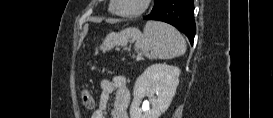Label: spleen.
Segmentation results:
<instances>
[{
	"instance_id": "spleen-1",
	"label": "spleen",
	"mask_w": 273,
	"mask_h": 118,
	"mask_svg": "<svg viewBox=\"0 0 273 118\" xmlns=\"http://www.w3.org/2000/svg\"><path fill=\"white\" fill-rule=\"evenodd\" d=\"M130 39L135 41V50H141L149 59H172L183 55L187 47L175 28L162 22L148 21L143 33L137 28H126L119 33L108 34L101 49L126 46Z\"/></svg>"
}]
</instances>
